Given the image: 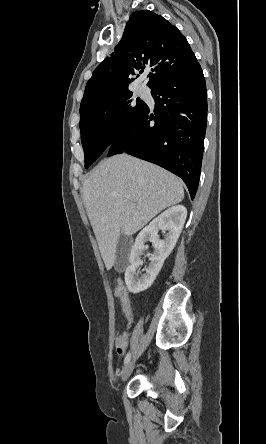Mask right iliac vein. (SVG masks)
<instances>
[{
    "label": "right iliac vein",
    "mask_w": 266,
    "mask_h": 444,
    "mask_svg": "<svg viewBox=\"0 0 266 444\" xmlns=\"http://www.w3.org/2000/svg\"><path fill=\"white\" fill-rule=\"evenodd\" d=\"M134 364H135V358H133L132 360H130L126 366L124 367L123 373H122V381L126 382L127 379L129 378V376L131 375L133 368H134Z\"/></svg>",
    "instance_id": "1"
}]
</instances>
